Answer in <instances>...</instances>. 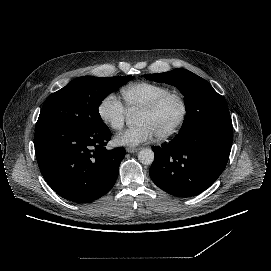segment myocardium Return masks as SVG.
<instances>
[{"mask_svg":"<svg viewBox=\"0 0 271 271\" xmlns=\"http://www.w3.org/2000/svg\"><path fill=\"white\" fill-rule=\"evenodd\" d=\"M171 98H177L179 100L181 105V115L177 123L170 130H168L164 134L156 136L157 139L161 141L168 140L174 137L185 123L188 115V102L185 95L179 91L170 90L139 111V113L144 114L154 113L159 110Z\"/></svg>","mask_w":271,"mask_h":271,"instance_id":"f54148a6","label":"myocardium"}]
</instances>
